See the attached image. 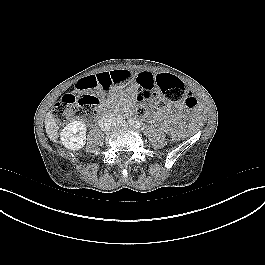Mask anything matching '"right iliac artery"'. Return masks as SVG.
<instances>
[{
  "label": "right iliac artery",
  "instance_id": "obj_1",
  "mask_svg": "<svg viewBox=\"0 0 265 265\" xmlns=\"http://www.w3.org/2000/svg\"><path fill=\"white\" fill-rule=\"evenodd\" d=\"M123 119H124V118H123L122 116H120V115L117 117V121H118L119 123L122 122Z\"/></svg>",
  "mask_w": 265,
  "mask_h": 265
}]
</instances>
